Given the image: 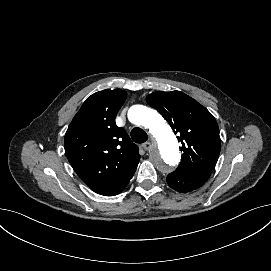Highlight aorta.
Returning a JSON list of instances; mask_svg holds the SVG:
<instances>
[{"instance_id": "obj_1", "label": "aorta", "mask_w": 271, "mask_h": 271, "mask_svg": "<svg viewBox=\"0 0 271 271\" xmlns=\"http://www.w3.org/2000/svg\"><path fill=\"white\" fill-rule=\"evenodd\" d=\"M128 114L132 123L145 127L156 138L158 145L151 153L153 164L163 173L170 172L179 163L181 156L175 136L166 121L156 110L142 105L131 107Z\"/></svg>"}]
</instances>
